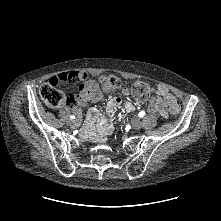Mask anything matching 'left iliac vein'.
I'll return each mask as SVG.
<instances>
[{
    "label": "left iliac vein",
    "mask_w": 221,
    "mask_h": 221,
    "mask_svg": "<svg viewBox=\"0 0 221 221\" xmlns=\"http://www.w3.org/2000/svg\"><path fill=\"white\" fill-rule=\"evenodd\" d=\"M132 128L134 130H139L141 128V122L139 120H136L133 124H132Z\"/></svg>",
    "instance_id": "1"
}]
</instances>
